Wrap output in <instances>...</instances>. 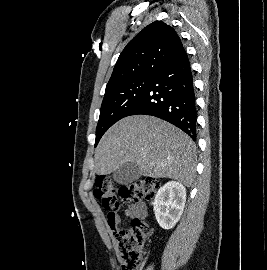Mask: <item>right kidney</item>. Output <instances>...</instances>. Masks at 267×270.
Instances as JSON below:
<instances>
[{
    "mask_svg": "<svg viewBox=\"0 0 267 270\" xmlns=\"http://www.w3.org/2000/svg\"><path fill=\"white\" fill-rule=\"evenodd\" d=\"M186 202V189L176 181H169L157 192L154 213L161 228L168 230L180 220Z\"/></svg>",
    "mask_w": 267,
    "mask_h": 270,
    "instance_id": "ca27d5eb",
    "label": "right kidney"
}]
</instances>
